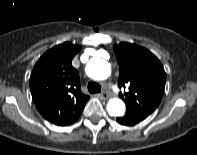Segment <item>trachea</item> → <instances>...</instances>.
I'll list each match as a JSON object with an SVG mask.
<instances>
[{"label": "trachea", "instance_id": "3493384b", "mask_svg": "<svg viewBox=\"0 0 197 155\" xmlns=\"http://www.w3.org/2000/svg\"><path fill=\"white\" fill-rule=\"evenodd\" d=\"M88 90L90 93H100L101 86L98 83L91 81L88 83Z\"/></svg>", "mask_w": 197, "mask_h": 155}]
</instances>
